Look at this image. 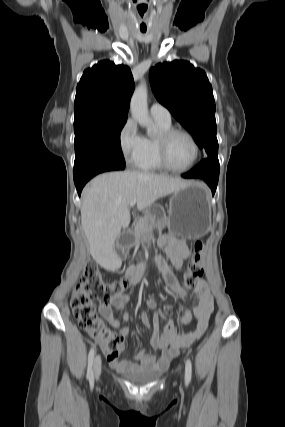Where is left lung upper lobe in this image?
<instances>
[{
  "label": "left lung upper lobe",
  "mask_w": 285,
  "mask_h": 427,
  "mask_svg": "<svg viewBox=\"0 0 285 427\" xmlns=\"http://www.w3.org/2000/svg\"><path fill=\"white\" fill-rule=\"evenodd\" d=\"M149 78L158 101L191 133L208 157H218L215 101L206 73L183 60L157 64Z\"/></svg>",
  "instance_id": "5c2ea615"
}]
</instances>
